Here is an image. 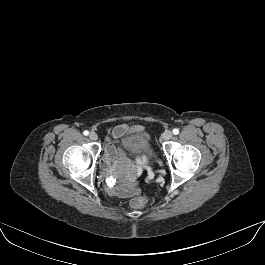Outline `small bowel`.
Instances as JSON below:
<instances>
[{
  "mask_svg": "<svg viewBox=\"0 0 265 265\" xmlns=\"http://www.w3.org/2000/svg\"><path fill=\"white\" fill-rule=\"evenodd\" d=\"M128 130L129 127L127 125L120 124L110 131V136L113 140H118L123 134L128 132ZM119 153V150L112 143H109L101 160L102 167L108 169ZM137 193H139V187L136 183H131L116 191V194L119 196H133Z\"/></svg>",
  "mask_w": 265,
  "mask_h": 265,
  "instance_id": "c3829d8e",
  "label": "small bowel"
}]
</instances>
